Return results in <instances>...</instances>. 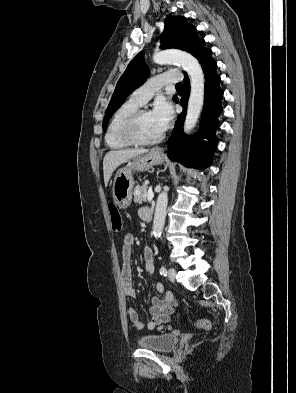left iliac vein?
<instances>
[{
  "mask_svg": "<svg viewBox=\"0 0 296 393\" xmlns=\"http://www.w3.org/2000/svg\"><path fill=\"white\" fill-rule=\"evenodd\" d=\"M176 276V270L174 268H169L168 270V277L170 281H174Z\"/></svg>",
  "mask_w": 296,
  "mask_h": 393,
  "instance_id": "left-iliac-vein-1",
  "label": "left iliac vein"
}]
</instances>
